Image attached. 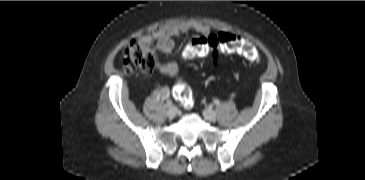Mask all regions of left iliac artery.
<instances>
[{"instance_id":"obj_1","label":"left iliac artery","mask_w":365,"mask_h":180,"mask_svg":"<svg viewBox=\"0 0 365 180\" xmlns=\"http://www.w3.org/2000/svg\"><path fill=\"white\" fill-rule=\"evenodd\" d=\"M214 103H215L216 105H219V104H220V101H219L218 99H216V100L214 101Z\"/></svg>"}]
</instances>
